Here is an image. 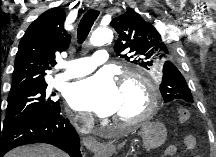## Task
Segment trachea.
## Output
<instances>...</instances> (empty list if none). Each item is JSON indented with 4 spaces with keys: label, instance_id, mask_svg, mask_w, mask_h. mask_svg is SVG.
<instances>
[{
    "label": "trachea",
    "instance_id": "trachea-1",
    "mask_svg": "<svg viewBox=\"0 0 216 157\" xmlns=\"http://www.w3.org/2000/svg\"><path fill=\"white\" fill-rule=\"evenodd\" d=\"M100 12L95 9H89L82 17L78 29H77V39L79 43H83L87 38L95 20L97 19Z\"/></svg>",
    "mask_w": 216,
    "mask_h": 157
}]
</instances>
